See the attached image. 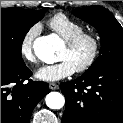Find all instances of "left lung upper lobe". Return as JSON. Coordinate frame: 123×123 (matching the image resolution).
<instances>
[{
	"label": "left lung upper lobe",
	"instance_id": "left-lung-upper-lobe-1",
	"mask_svg": "<svg viewBox=\"0 0 123 123\" xmlns=\"http://www.w3.org/2000/svg\"><path fill=\"white\" fill-rule=\"evenodd\" d=\"M73 13L94 26L101 38L99 57L85 73L109 62L123 61V28L107 9L90 6L77 8Z\"/></svg>",
	"mask_w": 123,
	"mask_h": 123
}]
</instances>
